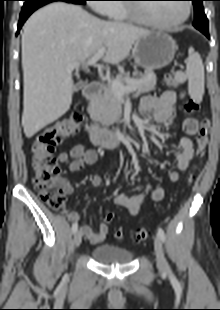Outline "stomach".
<instances>
[{"mask_svg":"<svg viewBox=\"0 0 220 310\" xmlns=\"http://www.w3.org/2000/svg\"><path fill=\"white\" fill-rule=\"evenodd\" d=\"M177 45L164 32H150L136 40L132 57L136 64L151 71L166 67L174 59Z\"/></svg>","mask_w":220,"mask_h":310,"instance_id":"obj_1","label":"stomach"}]
</instances>
